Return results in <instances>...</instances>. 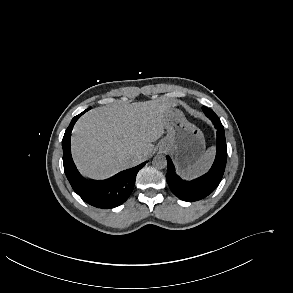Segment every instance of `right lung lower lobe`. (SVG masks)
I'll return each mask as SVG.
<instances>
[{
	"mask_svg": "<svg viewBox=\"0 0 293 293\" xmlns=\"http://www.w3.org/2000/svg\"><path fill=\"white\" fill-rule=\"evenodd\" d=\"M88 110L75 116L65 131L62 140L64 171L73 190L85 202L98 208H114L123 204L128 199L134 188L136 175L146 162L134 168L119 172L106 180L90 181L85 179L78 172L73 162L70 137L75 122Z\"/></svg>",
	"mask_w": 293,
	"mask_h": 293,
	"instance_id": "right-lung-lower-lobe-1",
	"label": "right lung lower lobe"
}]
</instances>
